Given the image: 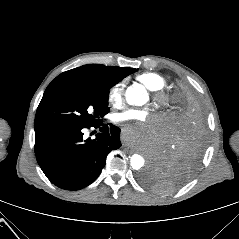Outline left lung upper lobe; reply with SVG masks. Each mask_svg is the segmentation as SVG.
<instances>
[{"label": "left lung upper lobe", "mask_w": 239, "mask_h": 239, "mask_svg": "<svg viewBox=\"0 0 239 239\" xmlns=\"http://www.w3.org/2000/svg\"><path fill=\"white\" fill-rule=\"evenodd\" d=\"M190 98L199 99L196 91L188 83L178 82L176 90L174 92V106L177 108L180 102H183L185 99ZM176 108L172 110V115L170 116L171 125L175 124ZM141 181L149 188H152L159 192L168 191L173 188L172 183L169 179H167L164 175L159 173L157 170L152 169L151 167L146 173L142 175Z\"/></svg>", "instance_id": "left-lung-upper-lobe-1"}]
</instances>
